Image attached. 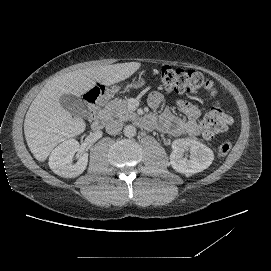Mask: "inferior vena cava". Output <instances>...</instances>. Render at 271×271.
I'll return each mask as SVG.
<instances>
[{"label": "inferior vena cava", "instance_id": "inferior-vena-cava-1", "mask_svg": "<svg viewBox=\"0 0 271 271\" xmlns=\"http://www.w3.org/2000/svg\"><path fill=\"white\" fill-rule=\"evenodd\" d=\"M123 122L117 119H110L106 125V133L109 135H115L121 131Z\"/></svg>", "mask_w": 271, "mask_h": 271}]
</instances>
